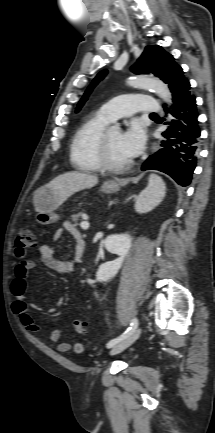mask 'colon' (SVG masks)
Instances as JSON below:
<instances>
[{
    "mask_svg": "<svg viewBox=\"0 0 215 433\" xmlns=\"http://www.w3.org/2000/svg\"><path fill=\"white\" fill-rule=\"evenodd\" d=\"M35 244L36 238L32 229L23 225L19 226L15 234L16 256L23 258L26 249L34 247ZM73 327L79 334H84L89 329L88 322L82 319H75L73 321Z\"/></svg>",
    "mask_w": 215,
    "mask_h": 433,
    "instance_id": "5ec220e1",
    "label": "colon"
}]
</instances>
